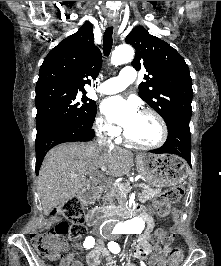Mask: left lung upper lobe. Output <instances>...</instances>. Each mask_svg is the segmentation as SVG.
<instances>
[{"label":"left lung upper lobe","mask_w":221,"mask_h":266,"mask_svg":"<svg viewBox=\"0 0 221 266\" xmlns=\"http://www.w3.org/2000/svg\"><path fill=\"white\" fill-rule=\"evenodd\" d=\"M125 41L136 50L132 66L148 72L139 85V96L162 116L167 127L176 121H190L192 79L184 58L142 26L134 28Z\"/></svg>","instance_id":"1"}]
</instances>
